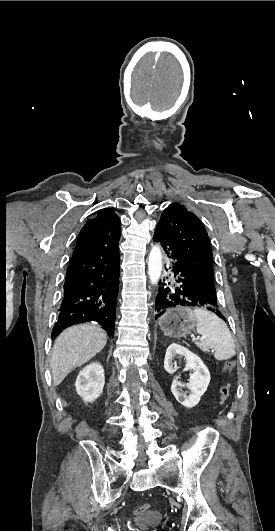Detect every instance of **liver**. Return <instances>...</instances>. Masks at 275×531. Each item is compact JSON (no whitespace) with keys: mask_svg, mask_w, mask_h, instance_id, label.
Returning a JSON list of instances; mask_svg holds the SVG:
<instances>
[{"mask_svg":"<svg viewBox=\"0 0 275 531\" xmlns=\"http://www.w3.org/2000/svg\"><path fill=\"white\" fill-rule=\"evenodd\" d=\"M106 343L107 335L99 325H75L60 333L50 363L54 387L60 385L73 369L93 359Z\"/></svg>","mask_w":275,"mask_h":531,"instance_id":"1","label":"liver"}]
</instances>
